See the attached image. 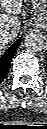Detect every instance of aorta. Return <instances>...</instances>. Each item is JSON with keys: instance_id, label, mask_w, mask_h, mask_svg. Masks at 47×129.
<instances>
[{"instance_id": "aorta-1", "label": "aorta", "mask_w": 47, "mask_h": 129, "mask_svg": "<svg viewBox=\"0 0 47 129\" xmlns=\"http://www.w3.org/2000/svg\"><path fill=\"white\" fill-rule=\"evenodd\" d=\"M47 41L43 34L31 32L25 36L24 46L33 52H38L46 47Z\"/></svg>"}]
</instances>
